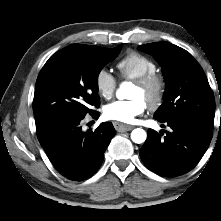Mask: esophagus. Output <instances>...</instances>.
<instances>
[{
  "label": "esophagus",
  "instance_id": "obj_1",
  "mask_svg": "<svg viewBox=\"0 0 221 221\" xmlns=\"http://www.w3.org/2000/svg\"><path fill=\"white\" fill-rule=\"evenodd\" d=\"M114 127L118 132H126V131H130L134 128V126L132 125H126V124H122L119 122H114Z\"/></svg>",
  "mask_w": 221,
  "mask_h": 221
}]
</instances>
